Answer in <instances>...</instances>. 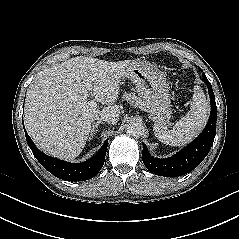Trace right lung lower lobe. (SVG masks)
<instances>
[{"label": "right lung lower lobe", "mask_w": 239, "mask_h": 239, "mask_svg": "<svg viewBox=\"0 0 239 239\" xmlns=\"http://www.w3.org/2000/svg\"><path fill=\"white\" fill-rule=\"evenodd\" d=\"M24 131L27 143L36 159L57 178L67 181H84L96 176L103 167L108 139L104 142L95 156L85 162L76 164L45 155L35 146L25 128Z\"/></svg>", "instance_id": "right-lung-lower-lobe-1"}]
</instances>
